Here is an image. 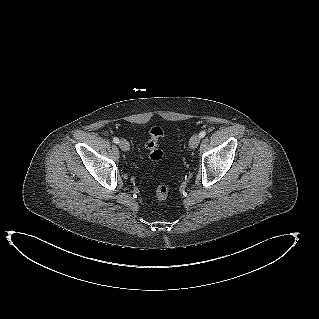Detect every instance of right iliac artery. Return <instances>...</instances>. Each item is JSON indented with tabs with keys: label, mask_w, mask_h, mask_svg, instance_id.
Segmentation results:
<instances>
[{
	"label": "right iliac artery",
	"mask_w": 319,
	"mask_h": 319,
	"mask_svg": "<svg viewBox=\"0 0 319 319\" xmlns=\"http://www.w3.org/2000/svg\"><path fill=\"white\" fill-rule=\"evenodd\" d=\"M113 142L116 143V144H118V143H119V139H118L117 137H114V138H113Z\"/></svg>",
	"instance_id": "right-iliac-artery-1"
}]
</instances>
